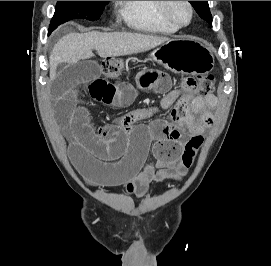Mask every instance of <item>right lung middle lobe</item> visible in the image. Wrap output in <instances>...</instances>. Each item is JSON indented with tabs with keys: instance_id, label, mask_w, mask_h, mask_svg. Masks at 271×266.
Wrapping results in <instances>:
<instances>
[{
	"instance_id": "obj_1",
	"label": "right lung middle lobe",
	"mask_w": 271,
	"mask_h": 266,
	"mask_svg": "<svg viewBox=\"0 0 271 266\" xmlns=\"http://www.w3.org/2000/svg\"><path fill=\"white\" fill-rule=\"evenodd\" d=\"M107 3L108 1H58L48 34L71 19L97 20Z\"/></svg>"
}]
</instances>
